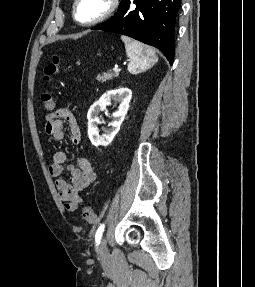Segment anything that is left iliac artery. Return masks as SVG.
<instances>
[{
  "label": "left iliac artery",
  "instance_id": "1",
  "mask_svg": "<svg viewBox=\"0 0 255 287\" xmlns=\"http://www.w3.org/2000/svg\"><path fill=\"white\" fill-rule=\"evenodd\" d=\"M104 227H105V225L102 224V225L98 228V230H97V232H96V236H95V242H96V244H99V243H100V240H101V237H102V234H103V231H104Z\"/></svg>",
  "mask_w": 255,
  "mask_h": 287
}]
</instances>
